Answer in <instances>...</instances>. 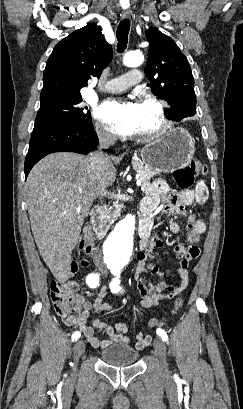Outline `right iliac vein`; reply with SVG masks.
<instances>
[{
  "label": "right iliac vein",
  "mask_w": 243,
  "mask_h": 409,
  "mask_svg": "<svg viewBox=\"0 0 243 409\" xmlns=\"http://www.w3.org/2000/svg\"><path fill=\"white\" fill-rule=\"evenodd\" d=\"M84 351L85 343L83 342V340L76 341L73 349L75 362H78V359L81 357Z\"/></svg>",
  "instance_id": "63e3f726"
}]
</instances>
